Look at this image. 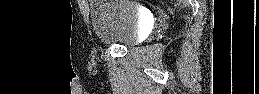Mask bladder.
<instances>
[{
    "instance_id": "1",
    "label": "bladder",
    "mask_w": 259,
    "mask_h": 94,
    "mask_svg": "<svg viewBox=\"0 0 259 94\" xmlns=\"http://www.w3.org/2000/svg\"><path fill=\"white\" fill-rule=\"evenodd\" d=\"M89 16L95 34L104 43L130 47L140 41L144 20L140 9L131 3L94 0Z\"/></svg>"
}]
</instances>
